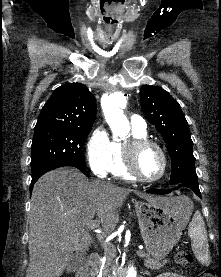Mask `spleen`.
<instances>
[{
    "label": "spleen",
    "mask_w": 221,
    "mask_h": 277,
    "mask_svg": "<svg viewBox=\"0 0 221 277\" xmlns=\"http://www.w3.org/2000/svg\"><path fill=\"white\" fill-rule=\"evenodd\" d=\"M188 235L191 238L192 251L197 260L203 265H209L210 253L207 232L204 220L199 212L195 213L189 223Z\"/></svg>",
    "instance_id": "obj_1"
}]
</instances>
